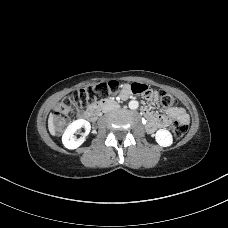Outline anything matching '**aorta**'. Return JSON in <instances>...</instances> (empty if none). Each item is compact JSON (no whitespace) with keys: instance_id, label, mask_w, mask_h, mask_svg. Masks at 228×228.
I'll list each match as a JSON object with an SVG mask.
<instances>
[{"instance_id":"obj_1","label":"aorta","mask_w":228,"mask_h":228,"mask_svg":"<svg viewBox=\"0 0 228 228\" xmlns=\"http://www.w3.org/2000/svg\"><path fill=\"white\" fill-rule=\"evenodd\" d=\"M128 106H129L130 109L135 110V109L138 108L139 103H138V101H136V100H131V101L129 102Z\"/></svg>"}]
</instances>
